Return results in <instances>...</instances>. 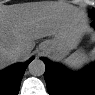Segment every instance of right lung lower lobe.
Instances as JSON below:
<instances>
[{"instance_id": "1", "label": "right lung lower lobe", "mask_w": 95, "mask_h": 95, "mask_svg": "<svg viewBox=\"0 0 95 95\" xmlns=\"http://www.w3.org/2000/svg\"><path fill=\"white\" fill-rule=\"evenodd\" d=\"M33 60L31 58L25 64H14L0 73L1 90L5 89L7 94H17L19 92L20 82L28 64Z\"/></svg>"}]
</instances>
